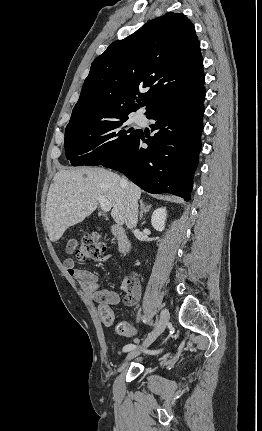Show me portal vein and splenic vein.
<instances>
[{
    "instance_id": "portal-vein-and-splenic-vein-1",
    "label": "portal vein and splenic vein",
    "mask_w": 262,
    "mask_h": 431,
    "mask_svg": "<svg viewBox=\"0 0 262 431\" xmlns=\"http://www.w3.org/2000/svg\"><path fill=\"white\" fill-rule=\"evenodd\" d=\"M98 201H99V204L101 206V209L104 212H109L111 210L112 204L110 201H108L107 199H105L103 197H99Z\"/></svg>"
}]
</instances>
